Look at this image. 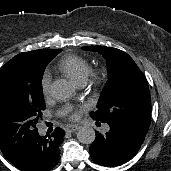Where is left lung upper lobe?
<instances>
[{"label": "left lung upper lobe", "instance_id": "1", "mask_svg": "<svg viewBox=\"0 0 171 171\" xmlns=\"http://www.w3.org/2000/svg\"><path fill=\"white\" fill-rule=\"evenodd\" d=\"M86 51L101 53L107 61L109 80L90 114L102 122L120 121L148 129L151 98L148 82L132 58L125 52L106 46H85Z\"/></svg>", "mask_w": 171, "mask_h": 171}]
</instances>
